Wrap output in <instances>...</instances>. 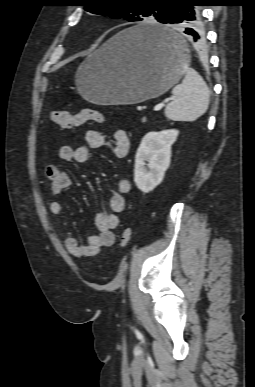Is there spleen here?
I'll use <instances>...</instances> for the list:
<instances>
[{
    "label": "spleen",
    "mask_w": 255,
    "mask_h": 387,
    "mask_svg": "<svg viewBox=\"0 0 255 387\" xmlns=\"http://www.w3.org/2000/svg\"><path fill=\"white\" fill-rule=\"evenodd\" d=\"M175 96L165 109V115L173 121H195L208 109L210 92L202 77L192 68L185 71V78L176 85Z\"/></svg>",
    "instance_id": "spleen-1"
}]
</instances>
